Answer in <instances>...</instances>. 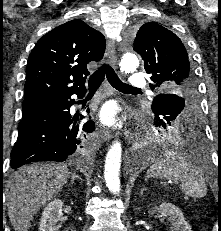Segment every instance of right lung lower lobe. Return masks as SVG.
Returning <instances> with one entry per match:
<instances>
[{"label": "right lung lower lobe", "instance_id": "obj_1", "mask_svg": "<svg viewBox=\"0 0 221 231\" xmlns=\"http://www.w3.org/2000/svg\"><path fill=\"white\" fill-rule=\"evenodd\" d=\"M85 93H63L23 105L17 142L11 152L12 169L31 162H61L84 147L86 134L95 129L94 122L71 125L75 118L71 117L69 109L74 103L71 96L76 94L82 98Z\"/></svg>", "mask_w": 221, "mask_h": 231}]
</instances>
